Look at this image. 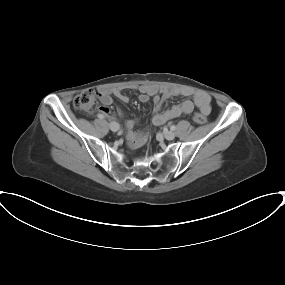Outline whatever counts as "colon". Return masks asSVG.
Wrapping results in <instances>:
<instances>
[{
  "mask_svg": "<svg viewBox=\"0 0 285 285\" xmlns=\"http://www.w3.org/2000/svg\"><path fill=\"white\" fill-rule=\"evenodd\" d=\"M98 98H100V93L90 89L76 96L73 104L76 109L82 112L92 113L97 108ZM194 121L198 124H205L207 123V117L203 113H195Z\"/></svg>",
  "mask_w": 285,
  "mask_h": 285,
  "instance_id": "colon-1",
  "label": "colon"
}]
</instances>
